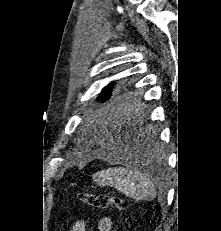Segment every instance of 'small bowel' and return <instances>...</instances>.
I'll return each mask as SVG.
<instances>
[{
  "label": "small bowel",
  "mask_w": 221,
  "mask_h": 231,
  "mask_svg": "<svg viewBox=\"0 0 221 231\" xmlns=\"http://www.w3.org/2000/svg\"><path fill=\"white\" fill-rule=\"evenodd\" d=\"M86 221L81 219L75 222V224L72 226L71 231H86ZM112 229V220L104 216L98 220L97 223V231H111Z\"/></svg>",
  "instance_id": "small-bowel-1"
}]
</instances>
